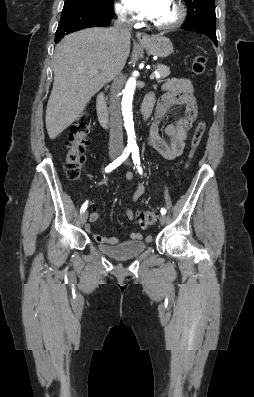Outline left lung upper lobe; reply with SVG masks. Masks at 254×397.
<instances>
[{
	"instance_id": "obj_1",
	"label": "left lung upper lobe",
	"mask_w": 254,
	"mask_h": 397,
	"mask_svg": "<svg viewBox=\"0 0 254 397\" xmlns=\"http://www.w3.org/2000/svg\"><path fill=\"white\" fill-rule=\"evenodd\" d=\"M189 10H198L200 13L215 12V0H184Z\"/></svg>"
}]
</instances>
